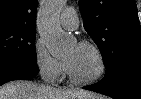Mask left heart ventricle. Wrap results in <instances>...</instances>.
Wrapping results in <instances>:
<instances>
[{
	"instance_id": "1",
	"label": "left heart ventricle",
	"mask_w": 141,
	"mask_h": 99,
	"mask_svg": "<svg viewBox=\"0 0 141 99\" xmlns=\"http://www.w3.org/2000/svg\"><path fill=\"white\" fill-rule=\"evenodd\" d=\"M74 74L82 79L95 76L99 71V60L96 53L89 47L74 45L65 56Z\"/></svg>"
}]
</instances>
